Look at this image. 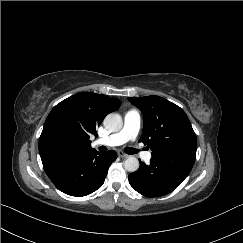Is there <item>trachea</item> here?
Wrapping results in <instances>:
<instances>
[{"mask_svg": "<svg viewBox=\"0 0 243 243\" xmlns=\"http://www.w3.org/2000/svg\"><path fill=\"white\" fill-rule=\"evenodd\" d=\"M125 152H126L127 154H134V153L137 152V150L134 149V148H125Z\"/></svg>", "mask_w": 243, "mask_h": 243, "instance_id": "3493384b", "label": "trachea"}]
</instances>
